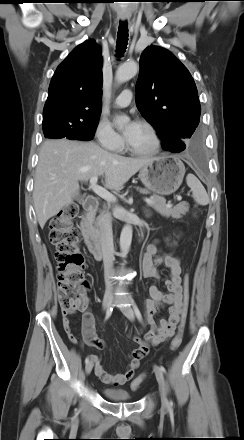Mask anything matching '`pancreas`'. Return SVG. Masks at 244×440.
Returning a JSON list of instances; mask_svg holds the SVG:
<instances>
[{
    "mask_svg": "<svg viewBox=\"0 0 244 440\" xmlns=\"http://www.w3.org/2000/svg\"><path fill=\"white\" fill-rule=\"evenodd\" d=\"M151 199L154 201V203L150 204V206L162 216L167 218L172 217L174 219H179L182 217V215H185L189 211V204L185 201L177 204L174 207H171L166 204L165 198L161 196L152 195ZM94 224L96 227V232L99 233L101 218L98 217Z\"/></svg>",
    "mask_w": 244,
    "mask_h": 440,
    "instance_id": "obj_1",
    "label": "pancreas"
}]
</instances>
